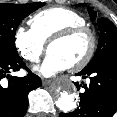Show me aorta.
<instances>
[{"label": "aorta", "instance_id": "1", "mask_svg": "<svg viewBox=\"0 0 117 117\" xmlns=\"http://www.w3.org/2000/svg\"><path fill=\"white\" fill-rule=\"evenodd\" d=\"M77 95L73 93H68L67 91L60 92V97L56 101V106L64 111L69 112L76 107Z\"/></svg>", "mask_w": 117, "mask_h": 117}]
</instances>
